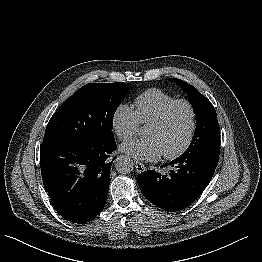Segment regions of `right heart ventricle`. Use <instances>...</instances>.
I'll list each match as a JSON object with an SVG mask.
<instances>
[{"label":"right heart ventricle","mask_w":262,"mask_h":262,"mask_svg":"<svg viewBox=\"0 0 262 262\" xmlns=\"http://www.w3.org/2000/svg\"><path fill=\"white\" fill-rule=\"evenodd\" d=\"M175 97L165 91L152 88L134 99V111L140 124H149Z\"/></svg>","instance_id":"obj_1"}]
</instances>
